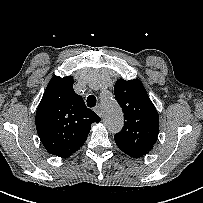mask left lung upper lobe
<instances>
[{"mask_svg":"<svg viewBox=\"0 0 203 203\" xmlns=\"http://www.w3.org/2000/svg\"><path fill=\"white\" fill-rule=\"evenodd\" d=\"M115 98L124 113V127L114 136L117 146L138 158L147 154L157 141L159 115L139 80L119 79L114 86Z\"/></svg>","mask_w":203,"mask_h":203,"instance_id":"obj_1","label":"left lung upper lobe"}]
</instances>
